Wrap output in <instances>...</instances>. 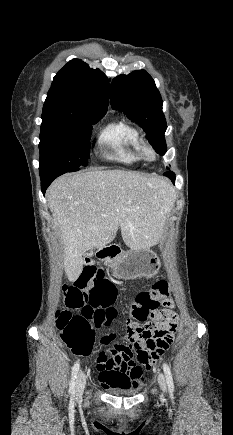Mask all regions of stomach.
<instances>
[{
  "label": "stomach",
  "instance_id": "0dacf381",
  "mask_svg": "<svg viewBox=\"0 0 233 435\" xmlns=\"http://www.w3.org/2000/svg\"><path fill=\"white\" fill-rule=\"evenodd\" d=\"M112 268L114 275L120 279L150 277L158 272L160 260L150 249H131L116 259Z\"/></svg>",
  "mask_w": 233,
  "mask_h": 435
}]
</instances>
